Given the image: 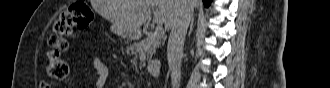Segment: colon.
I'll list each match as a JSON object with an SVG mask.
<instances>
[{"label":"colon","instance_id":"5ec220e1","mask_svg":"<svg viewBox=\"0 0 330 88\" xmlns=\"http://www.w3.org/2000/svg\"><path fill=\"white\" fill-rule=\"evenodd\" d=\"M93 21V12L84 1H77L66 8L54 25V32L49 37V50L47 56L49 63L47 75L58 82H67L70 78V66L62 58V54L68 49L65 39L74 28L87 29ZM51 87V86H49Z\"/></svg>","mask_w":330,"mask_h":88}]
</instances>
